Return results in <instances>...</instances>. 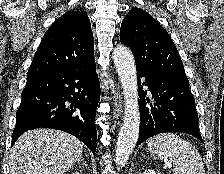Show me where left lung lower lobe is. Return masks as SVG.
Wrapping results in <instances>:
<instances>
[{
  "instance_id": "1",
  "label": "left lung lower lobe",
  "mask_w": 224,
  "mask_h": 174,
  "mask_svg": "<svg viewBox=\"0 0 224 174\" xmlns=\"http://www.w3.org/2000/svg\"><path fill=\"white\" fill-rule=\"evenodd\" d=\"M136 70L138 82L142 77L145 78L143 85L149 88L153 98L150 102L146 97L147 91L140 90L138 101L141 123L137 145L164 132L191 134L203 142L188 79L142 68Z\"/></svg>"
}]
</instances>
